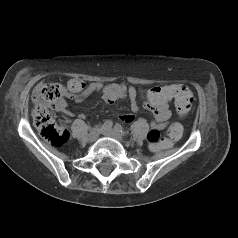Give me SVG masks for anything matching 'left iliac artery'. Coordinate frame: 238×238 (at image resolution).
I'll return each instance as SVG.
<instances>
[{
  "mask_svg": "<svg viewBox=\"0 0 238 238\" xmlns=\"http://www.w3.org/2000/svg\"><path fill=\"white\" fill-rule=\"evenodd\" d=\"M114 129H115L116 131H118V132L123 133V127H122L120 124H116V125L114 126Z\"/></svg>",
  "mask_w": 238,
  "mask_h": 238,
  "instance_id": "1",
  "label": "left iliac artery"
}]
</instances>
